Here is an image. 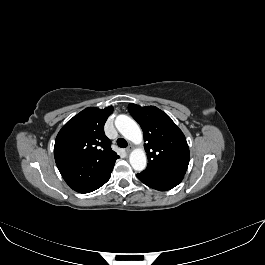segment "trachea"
Listing matches in <instances>:
<instances>
[{
    "label": "trachea",
    "instance_id": "trachea-1",
    "mask_svg": "<svg viewBox=\"0 0 265 265\" xmlns=\"http://www.w3.org/2000/svg\"><path fill=\"white\" fill-rule=\"evenodd\" d=\"M117 145L120 147V148H126L128 143L127 141L124 139V138H118L117 139Z\"/></svg>",
    "mask_w": 265,
    "mask_h": 265
}]
</instances>
